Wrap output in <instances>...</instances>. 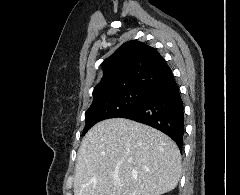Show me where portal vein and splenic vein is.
Segmentation results:
<instances>
[{
	"instance_id": "1",
	"label": "portal vein and splenic vein",
	"mask_w": 240,
	"mask_h": 195,
	"mask_svg": "<svg viewBox=\"0 0 240 195\" xmlns=\"http://www.w3.org/2000/svg\"><path fill=\"white\" fill-rule=\"evenodd\" d=\"M118 185H120V181H117Z\"/></svg>"
}]
</instances>
